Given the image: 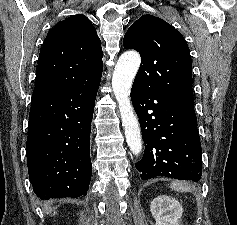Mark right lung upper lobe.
<instances>
[{
    "instance_id": "cb5924a9",
    "label": "right lung upper lobe",
    "mask_w": 237,
    "mask_h": 225,
    "mask_svg": "<svg viewBox=\"0 0 237 225\" xmlns=\"http://www.w3.org/2000/svg\"><path fill=\"white\" fill-rule=\"evenodd\" d=\"M101 41L92 22L73 15L47 34L40 51L33 100L60 97L101 79Z\"/></svg>"
}]
</instances>
